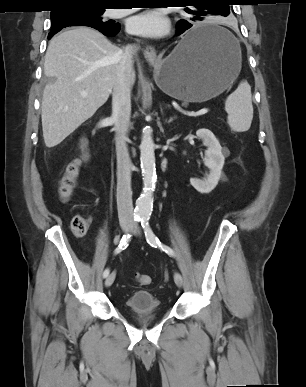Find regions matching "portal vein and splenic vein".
I'll return each mask as SVG.
<instances>
[{
    "label": "portal vein and splenic vein",
    "instance_id": "1",
    "mask_svg": "<svg viewBox=\"0 0 306 387\" xmlns=\"http://www.w3.org/2000/svg\"><path fill=\"white\" fill-rule=\"evenodd\" d=\"M81 95H82V96H86L87 93H86V92H82ZM208 111H209L208 108H202V109H200L199 111H197L196 113H194L193 115H194V116H200V115H203V114L208 113Z\"/></svg>",
    "mask_w": 306,
    "mask_h": 387
}]
</instances>
